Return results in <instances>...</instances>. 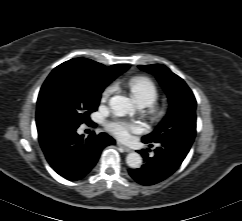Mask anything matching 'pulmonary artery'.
Instances as JSON below:
<instances>
[{
	"label": "pulmonary artery",
	"instance_id": "pulmonary-artery-1",
	"mask_svg": "<svg viewBox=\"0 0 242 221\" xmlns=\"http://www.w3.org/2000/svg\"><path fill=\"white\" fill-rule=\"evenodd\" d=\"M141 107H145V105L140 104Z\"/></svg>",
	"mask_w": 242,
	"mask_h": 221
}]
</instances>
